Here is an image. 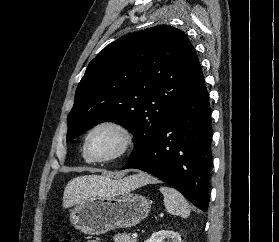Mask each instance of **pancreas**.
Masks as SVG:
<instances>
[{"label": "pancreas", "mask_w": 279, "mask_h": 242, "mask_svg": "<svg viewBox=\"0 0 279 242\" xmlns=\"http://www.w3.org/2000/svg\"><path fill=\"white\" fill-rule=\"evenodd\" d=\"M114 242H136V239H131L129 234H117L113 237Z\"/></svg>", "instance_id": "1"}]
</instances>
